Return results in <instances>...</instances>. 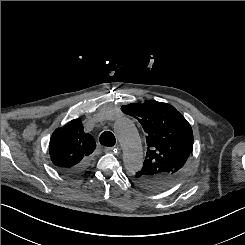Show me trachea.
<instances>
[{"label": "trachea", "instance_id": "trachea-1", "mask_svg": "<svg viewBox=\"0 0 245 245\" xmlns=\"http://www.w3.org/2000/svg\"><path fill=\"white\" fill-rule=\"evenodd\" d=\"M100 143L104 146H114L116 143L115 136L110 131H105L100 135Z\"/></svg>", "mask_w": 245, "mask_h": 245}]
</instances>
